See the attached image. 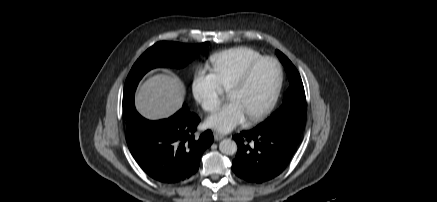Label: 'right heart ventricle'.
<instances>
[{"label": "right heart ventricle", "mask_w": 437, "mask_h": 202, "mask_svg": "<svg viewBox=\"0 0 437 202\" xmlns=\"http://www.w3.org/2000/svg\"><path fill=\"white\" fill-rule=\"evenodd\" d=\"M263 55L257 50L239 46L223 50L210 56L212 72L224 90H229L245 68Z\"/></svg>", "instance_id": "e07e8e85"}]
</instances>
